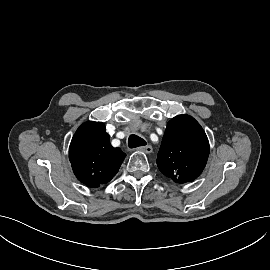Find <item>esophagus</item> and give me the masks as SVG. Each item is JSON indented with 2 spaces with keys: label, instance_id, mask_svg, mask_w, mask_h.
Masks as SVG:
<instances>
[{
  "label": "esophagus",
  "instance_id": "esophagus-1",
  "mask_svg": "<svg viewBox=\"0 0 270 270\" xmlns=\"http://www.w3.org/2000/svg\"><path fill=\"white\" fill-rule=\"evenodd\" d=\"M138 150L149 154V153H151L153 151V148H152L151 145H146V146L138 147Z\"/></svg>",
  "mask_w": 270,
  "mask_h": 270
}]
</instances>
